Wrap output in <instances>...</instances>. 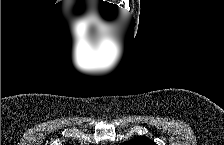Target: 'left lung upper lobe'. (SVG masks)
<instances>
[{
	"mask_svg": "<svg viewBox=\"0 0 224 145\" xmlns=\"http://www.w3.org/2000/svg\"><path fill=\"white\" fill-rule=\"evenodd\" d=\"M124 145H156V144L147 137H141L133 139L127 143H124Z\"/></svg>",
	"mask_w": 224,
	"mask_h": 145,
	"instance_id": "1",
	"label": "left lung upper lobe"
}]
</instances>
